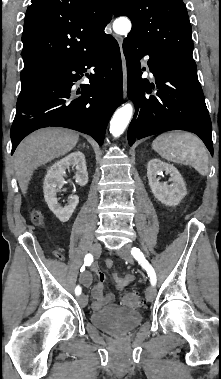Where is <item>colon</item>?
I'll list each match as a JSON object with an SVG mask.
<instances>
[{"mask_svg":"<svg viewBox=\"0 0 221 379\" xmlns=\"http://www.w3.org/2000/svg\"><path fill=\"white\" fill-rule=\"evenodd\" d=\"M32 220L35 224H41L43 222V215L39 211H34L32 214ZM142 303L140 297L135 293H127L121 298V304L130 307L139 306Z\"/></svg>","mask_w":221,"mask_h":379,"instance_id":"5ec220e1","label":"colon"}]
</instances>
